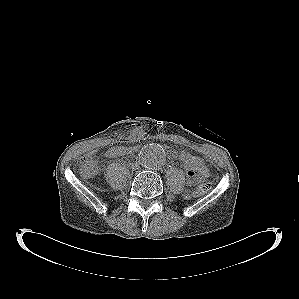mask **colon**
Listing matches in <instances>:
<instances>
[{
    "mask_svg": "<svg viewBox=\"0 0 299 299\" xmlns=\"http://www.w3.org/2000/svg\"><path fill=\"white\" fill-rule=\"evenodd\" d=\"M179 161L185 168H198L201 164L200 159L191 152L179 148L177 152ZM78 168L84 177H92L97 173V164L91 155H85L78 163ZM211 188V184L204 182L200 183L194 191L195 196H201L207 193Z\"/></svg>",
    "mask_w": 299,
    "mask_h": 299,
    "instance_id": "colon-1",
    "label": "colon"
}]
</instances>
